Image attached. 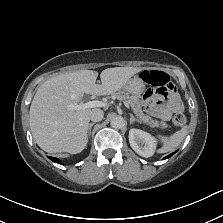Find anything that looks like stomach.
Here are the masks:
<instances>
[{
    "instance_id": "0dacf381",
    "label": "stomach",
    "mask_w": 223,
    "mask_h": 223,
    "mask_svg": "<svg viewBox=\"0 0 223 223\" xmlns=\"http://www.w3.org/2000/svg\"><path fill=\"white\" fill-rule=\"evenodd\" d=\"M144 80L145 79H141L138 77V75H136L133 78L129 79L123 87H128V90H132V93L139 92L140 94L143 91L144 86H145Z\"/></svg>"
}]
</instances>
